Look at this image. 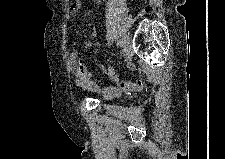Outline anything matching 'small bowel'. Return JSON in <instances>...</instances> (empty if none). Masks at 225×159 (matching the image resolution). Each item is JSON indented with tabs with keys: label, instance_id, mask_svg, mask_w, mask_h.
Masks as SVG:
<instances>
[{
	"label": "small bowel",
	"instance_id": "1",
	"mask_svg": "<svg viewBox=\"0 0 225 159\" xmlns=\"http://www.w3.org/2000/svg\"><path fill=\"white\" fill-rule=\"evenodd\" d=\"M81 8V2L74 3L69 10V15H77L80 12ZM84 46L85 48L90 49L92 47V42L87 41L85 42ZM70 58L72 62V74L75 79V83L81 88L101 93L106 98L118 96L122 91L131 92L142 88L143 82L141 80H137L134 82L123 81L116 72L106 66H102L101 71L106 73L114 82V84L106 87H99L91 81L90 73L87 66L80 58V51L77 46H73Z\"/></svg>",
	"mask_w": 225,
	"mask_h": 159
}]
</instances>
